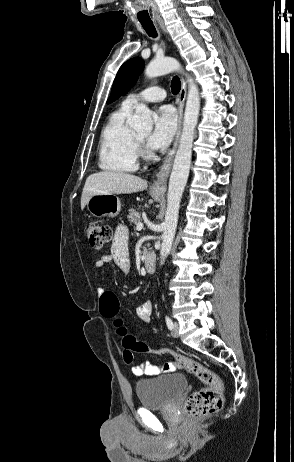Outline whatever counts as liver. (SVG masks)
I'll return each instance as SVG.
<instances>
[{"label": "liver", "instance_id": "1", "mask_svg": "<svg viewBox=\"0 0 294 462\" xmlns=\"http://www.w3.org/2000/svg\"><path fill=\"white\" fill-rule=\"evenodd\" d=\"M147 188L146 180L124 172L102 171L90 175L85 182L81 209L95 194H131Z\"/></svg>", "mask_w": 294, "mask_h": 462}]
</instances>
